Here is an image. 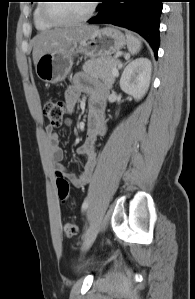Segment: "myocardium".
Here are the masks:
<instances>
[{"mask_svg":"<svg viewBox=\"0 0 195 299\" xmlns=\"http://www.w3.org/2000/svg\"><path fill=\"white\" fill-rule=\"evenodd\" d=\"M46 2H48V1H46ZM50 4L51 3H43L42 8H41V13H42L43 18L48 23H50L54 26H70V25H75V24L86 22L93 17V15L95 14L96 9H97L96 1L91 0L89 10L87 11V13L84 16L75 18V19H71V20H60L50 14V12H49Z\"/></svg>","mask_w":195,"mask_h":299,"instance_id":"myocardium-1","label":"myocardium"}]
</instances>
